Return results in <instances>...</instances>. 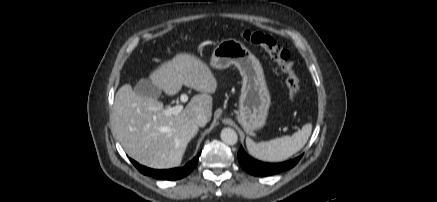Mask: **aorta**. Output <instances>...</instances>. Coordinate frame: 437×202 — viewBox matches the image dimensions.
<instances>
[{
	"instance_id": "aorta-1",
	"label": "aorta",
	"mask_w": 437,
	"mask_h": 202,
	"mask_svg": "<svg viewBox=\"0 0 437 202\" xmlns=\"http://www.w3.org/2000/svg\"><path fill=\"white\" fill-rule=\"evenodd\" d=\"M221 140L227 145H235L238 141V135L232 128H224L220 134Z\"/></svg>"
}]
</instances>
